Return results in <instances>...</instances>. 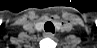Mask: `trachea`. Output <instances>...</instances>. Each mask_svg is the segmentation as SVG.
<instances>
[{"instance_id": "1", "label": "trachea", "mask_w": 97, "mask_h": 48, "mask_svg": "<svg viewBox=\"0 0 97 48\" xmlns=\"http://www.w3.org/2000/svg\"><path fill=\"white\" fill-rule=\"evenodd\" d=\"M44 29L46 32H51V33L55 32V27H54L53 23L50 21L45 23Z\"/></svg>"}]
</instances>
